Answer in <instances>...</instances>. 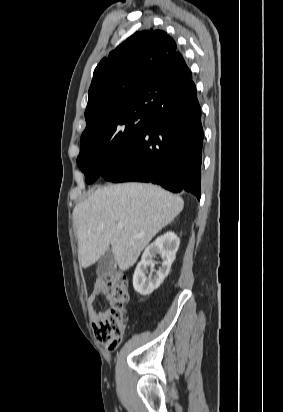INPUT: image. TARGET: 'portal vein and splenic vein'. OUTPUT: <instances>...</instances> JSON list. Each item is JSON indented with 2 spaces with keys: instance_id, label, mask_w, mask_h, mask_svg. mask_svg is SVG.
<instances>
[{
  "instance_id": "portal-vein-and-splenic-vein-1",
  "label": "portal vein and splenic vein",
  "mask_w": 283,
  "mask_h": 412,
  "mask_svg": "<svg viewBox=\"0 0 283 412\" xmlns=\"http://www.w3.org/2000/svg\"><path fill=\"white\" fill-rule=\"evenodd\" d=\"M117 227L121 229V228L123 227V224H122V223H118V224H117Z\"/></svg>"
}]
</instances>
